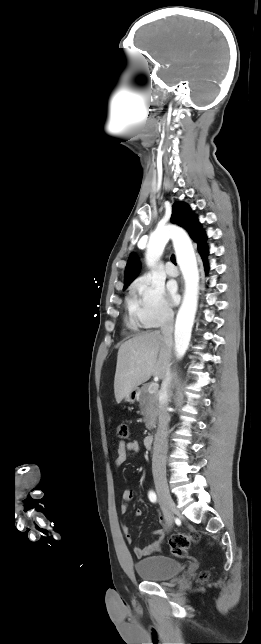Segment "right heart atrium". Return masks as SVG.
<instances>
[{
	"label": "right heart atrium",
	"instance_id": "obj_1",
	"mask_svg": "<svg viewBox=\"0 0 261 644\" xmlns=\"http://www.w3.org/2000/svg\"><path fill=\"white\" fill-rule=\"evenodd\" d=\"M133 314L138 323L146 328H155L169 323L173 311L163 286L153 279L142 276L132 286Z\"/></svg>",
	"mask_w": 261,
	"mask_h": 644
}]
</instances>
